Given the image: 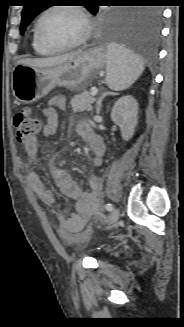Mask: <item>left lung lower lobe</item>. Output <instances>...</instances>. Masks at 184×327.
Here are the masks:
<instances>
[{"mask_svg": "<svg viewBox=\"0 0 184 327\" xmlns=\"http://www.w3.org/2000/svg\"><path fill=\"white\" fill-rule=\"evenodd\" d=\"M161 16V11L156 7L137 10L125 25L115 31L113 41L131 52L149 56L156 54Z\"/></svg>", "mask_w": 184, "mask_h": 327, "instance_id": "0a47b994", "label": "left lung lower lobe"}]
</instances>
